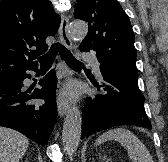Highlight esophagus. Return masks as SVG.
<instances>
[{"label":"esophagus","mask_w":168,"mask_h":162,"mask_svg":"<svg viewBox=\"0 0 168 162\" xmlns=\"http://www.w3.org/2000/svg\"><path fill=\"white\" fill-rule=\"evenodd\" d=\"M68 23L69 20L66 16H62L61 18V24L59 29V37L63 45L71 49L72 48V41L68 33ZM57 107H58V114L60 117H63L66 115L68 109H69V102L67 99L64 98L62 94H59L57 99Z\"/></svg>","instance_id":"34e87169"}]
</instances>
